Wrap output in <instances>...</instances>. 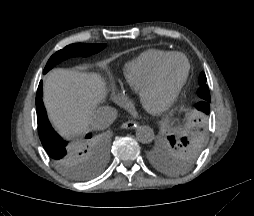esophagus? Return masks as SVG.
Listing matches in <instances>:
<instances>
[{
    "label": "esophagus",
    "mask_w": 254,
    "mask_h": 216,
    "mask_svg": "<svg viewBox=\"0 0 254 216\" xmlns=\"http://www.w3.org/2000/svg\"><path fill=\"white\" fill-rule=\"evenodd\" d=\"M138 126V122L134 120H129L121 125L122 129H134Z\"/></svg>",
    "instance_id": "1"
}]
</instances>
